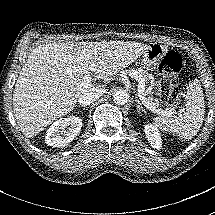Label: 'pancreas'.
I'll return each mask as SVG.
<instances>
[{"label": "pancreas", "instance_id": "cf45deb5", "mask_svg": "<svg viewBox=\"0 0 215 215\" xmlns=\"http://www.w3.org/2000/svg\"><path fill=\"white\" fill-rule=\"evenodd\" d=\"M135 72L138 73L142 78H146L148 76V72L143 71L142 69H137Z\"/></svg>", "mask_w": 215, "mask_h": 215}]
</instances>
